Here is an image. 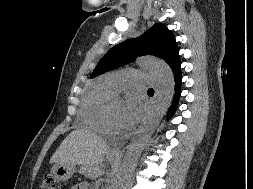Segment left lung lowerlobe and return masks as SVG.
<instances>
[{
	"instance_id": "left-lung-lower-lobe-1",
	"label": "left lung lower lobe",
	"mask_w": 253,
	"mask_h": 189,
	"mask_svg": "<svg viewBox=\"0 0 253 189\" xmlns=\"http://www.w3.org/2000/svg\"><path fill=\"white\" fill-rule=\"evenodd\" d=\"M173 73L175 76V83H176V90H175V96L173 99V103L170 107L169 113H168V117H171L173 115V113L175 112L177 105H178V100L180 97V88H181V80H182V76H181V63H179L174 69H173Z\"/></svg>"
}]
</instances>
